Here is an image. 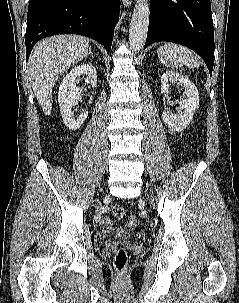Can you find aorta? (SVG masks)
Wrapping results in <instances>:
<instances>
[{"instance_id":"762f6f07","label":"aorta","mask_w":239,"mask_h":303,"mask_svg":"<svg viewBox=\"0 0 239 303\" xmlns=\"http://www.w3.org/2000/svg\"><path fill=\"white\" fill-rule=\"evenodd\" d=\"M149 15L148 0H137L129 29V45L133 51L142 49L146 42Z\"/></svg>"}]
</instances>
